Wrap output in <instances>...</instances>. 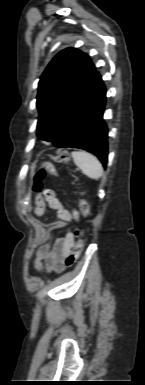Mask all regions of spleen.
<instances>
[{
	"label": "spleen",
	"mask_w": 145,
	"mask_h": 385,
	"mask_svg": "<svg viewBox=\"0 0 145 385\" xmlns=\"http://www.w3.org/2000/svg\"><path fill=\"white\" fill-rule=\"evenodd\" d=\"M71 155L74 163L89 178L98 179L103 175L102 165L94 155L86 151H74Z\"/></svg>",
	"instance_id": "spleen-1"
}]
</instances>
